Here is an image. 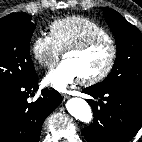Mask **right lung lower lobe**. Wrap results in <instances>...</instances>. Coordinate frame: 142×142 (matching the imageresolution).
I'll use <instances>...</instances> for the list:
<instances>
[{
    "instance_id": "98d812e1",
    "label": "right lung lower lobe",
    "mask_w": 142,
    "mask_h": 142,
    "mask_svg": "<svg viewBox=\"0 0 142 142\" xmlns=\"http://www.w3.org/2000/svg\"><path fill=\"white\" fill-rule=\"evenodd\" d=\"M38 90V76L32 81L0 93V142H39L44 120L62 102L58 92L43 89L32 103L27 101Z\"/></svg>"
}]
</instances>
